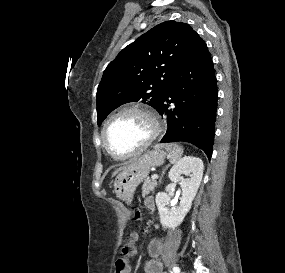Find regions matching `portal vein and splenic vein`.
I'll return each instance as SVG.
<instances>
[{
    "label": "portal vein and splenic vein",
    "instance_id": "1",
    "mask_svg": "<svg viewBox=\"0 0 285 273\" xmlns=\"http://www.w3.org/2000/svg\"><path fill=\"white\" fill-rule=\"evenodd\" d=\"M158 177H159V176H158L157 174H153V175H152V180H156V179H158Z\"/></svg>",
    "mask_w": 285,
    "mask_h": 273
}]
</instances>
